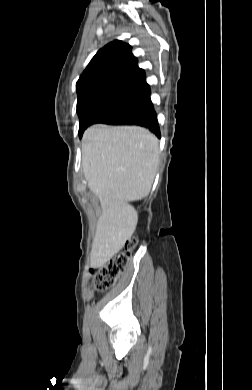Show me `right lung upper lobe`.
I'll return each instance as SVG.
<instances>
[{"label":"right lung upper lobe","mask_w":252,"mask_h":390,"mask_svg":"<svg viewBox=\"0 0 252 390\" xmlns=\"http://www.w3.org/2000/svg\"><path fill=\"white\" fill-rule=\"evenodd\" d=\"M77 109L103 99L138 102L150 95L144 70L137 66L131 46L115 40L92 58L76 83Z\"/></svg>","instance_id":"obj_1"}]
</instances>
